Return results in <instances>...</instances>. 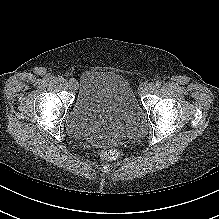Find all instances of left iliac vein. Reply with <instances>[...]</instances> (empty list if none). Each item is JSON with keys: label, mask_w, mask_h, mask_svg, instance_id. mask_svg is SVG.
Here are the masks:
<instances>
[{"label": "left iliac vein", "mask_w": 219, "mask_h": 219, "mask_svg": "<svg viewBox=\"0 0 219 219\" xmlns=\"http://www.w3.org/2000/svg\"><path fill=\"white\" fill-rule=\"evenodd\" d=\"M154 90V86L152 83H144L139 88L140 94H149Z\"/></svg>", "instance_id": "left-iliac-vein-1"}]
</instances>
